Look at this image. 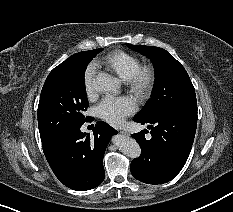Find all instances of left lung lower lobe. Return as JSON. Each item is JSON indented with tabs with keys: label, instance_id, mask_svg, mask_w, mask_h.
Instances as JSON below:
<instances>
[{
	"label": "left lung lower lobe",
	"instance_id": "0a47b994",
	"mask_svg": "<svg viewBox=\"0 0 233 212\" xmlns=\"http://www.w3.org/2000/svg\"><path fill=\"white\" fill-rule=\"evenodd\" d=\"M133 120L148 124L152 138L145 139L147 129L132 135L141 147V156L131 162L132 175L147 184L169 182L181 171L190 154L197 114L167 110Z\"/></svg>",
	"mask_w": 233,
	"mask_h": 212
}]
</instances>
